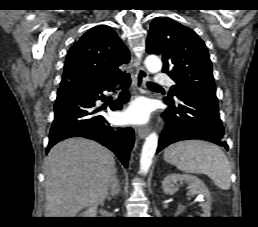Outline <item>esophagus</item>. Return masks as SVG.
<instances>
[{
	"mask_svg": "<svg viewBox=\"0 0 258 227\" xmlns=\"http://www.w3.org/2000/svg\"><path fill=\"white\" fill-rule=\"evenodd\" d=\"M148 72L139 64L135 63V78H136V87L141 94H146V82L148 80ZM150 128L148 126L140 127L138 129V136L140 138H145L149 134Z\"/></svg>",
	"mask_w": 258,
	"mask_h": 227,
	"instance_id": "obj_1",
	"label": "esophagus"
}]
</instances>
